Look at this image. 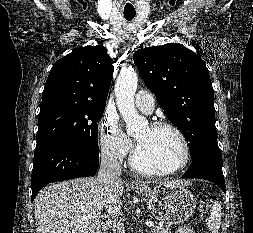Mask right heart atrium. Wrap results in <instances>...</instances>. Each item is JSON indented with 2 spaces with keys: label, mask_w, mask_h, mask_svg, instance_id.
<instances>
[{
  "label": "right heart atrium",
  "mask_w": 253,
  "mask_h": 233,
  "mask_svg": "<svg viewBox=\"0 0 253 233\" xmlns=\"http://www.w3.org/2000/svg\"><path fill=\"white\" fill-rule=\"evenodd\" d=\"M99 144L103 154L118 161L123 160L131 149L130 140L113 116H106L102 120L99 128Z\"/></svg>",
  "instance_id": "right-heart-atrium-1"
}]
</instances>
